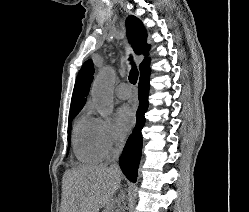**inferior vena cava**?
Wrapping results in <instances>:
<instances>
[{"mask_svg": "<svg viewBox=\"0 0 249 212\" xmlns=\"http://www.w3.org/2000/svg\"><path fill=\"white\" fill-rule=\"evenodd\" d=\"M123 144H124V138H120V140H116V146L114 150H112V164H111L112 168H119L117 164V160H119V156L122 152Z\"/></svg>", "mask_w": 249, "mask_h": 212, "instance_id": "1", "label": "inferior vena cava"}]
</instances>
